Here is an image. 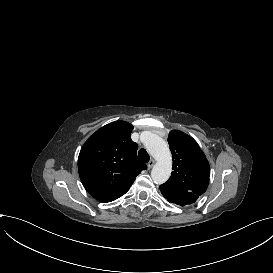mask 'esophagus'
Masks as SVG:
<instances>
[{"instance_id":"1","label":"esophagus","mask_w":273,"mask_h":273,"mask_svg":"<svg viewBox=\"0 0 273 273\" xmlns=\"http://www.w3.org/2000/svg\"><path fill=\"white\" fill-rule=\"evenodd\" d=\"M155 164V160L154 159H150V161L148 162V168H152Z\"/></svg>"}]
</instances>
